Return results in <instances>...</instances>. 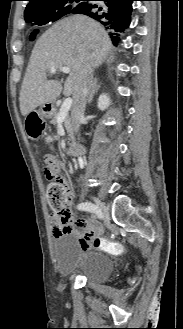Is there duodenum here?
I'll return each instance as SVG.
<instances>
[{
  "label": "duodenum",
  "mask_w": 183,
  "mask_h": 329,
  "mask_svg": "<svg viewBox=\"0 0 183 329\" xmlns=\"http://www.w3.org/2000/svg\"><path fill=\"white\" fill-rule=\"evenodd\" d=\"M85 153V146L81 143H73L68 149V155L71 157L81 156Z\"/></svg>",
  "instance_id": "duodenum-1"
}]
</instances>
